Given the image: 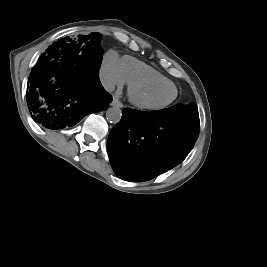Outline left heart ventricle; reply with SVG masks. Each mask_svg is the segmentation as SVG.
Masks as SVG:
<instances>
[{
	"label": "left heart ventricle",
	"mask_w": 267,
	"mask_h": 267,
	"mask_svg": "<svg viewBox=\"0 0 267 267\" xmlns=\"http://www.w3.org/2000/svg\"><path fill=\"white\" fill-rule=\"evenodd\" d=\"M174 94V88L168 84L147 86L137 91L141 101L152 105L164 104L170 101Z\"/></svg>",
	"instance_id": "obj_1"
}]
</instances>
